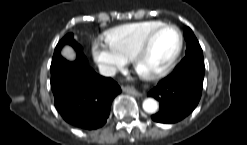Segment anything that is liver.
Here are the masks:
<instances>
[{
	"instance_id": "1",
	"label": "liver",
	"mask_w": 247,
	"mask_h": 145,
	"mask_svg": "<svg viewBox=\"0 0 247 145\" xmlns=\"http://www.w3.org/2000/svg\"><path fill=\"white\" fill-rule=\"evenodd\" d=\"M61 55L69 61L76 60V52L70 45H65L61 50Z\"/></svg>"
}]
</instances>
